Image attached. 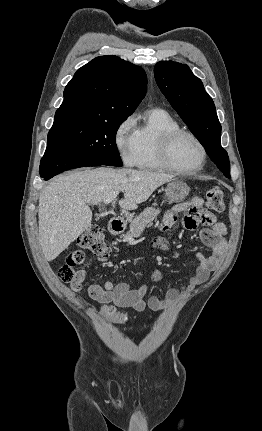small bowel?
<instances>
[{"mask_svg":"<svg viewBox=\"0 0 262 431\" xmlns=\"http://www.w3.org/2000/svg\"><path fill=\"white\" fill-rule=\"evenodd\" d=\"M189 208L193 209L194 212L183 219V225L187 229H194L198 225L204 226L205 229L201 231V239L212 249V253L209 256H205L201 252L196 253L198 259L196 272L189 279L188 283L168 291L164 301L160 300L153 293L148 294L147 285L132 289L126 282L114 283L106 281L103 286L90 283L87 286V293L91 299L100 303L103 312L110 314L118 308H133L138 311L149 308L155 311H162L169 305H175L183 301L221 265L227 253V228L212 212L206 209L204 198L199 196L194 197L190 201L166 211L161 220V229L166 231L172 228L178 214ZM158 246L164 250L168 248L165 241H160ZM160 278L161 273L156 271L152 275L151 281H157ZM71 289L79 293L82 287L81 284L77 283L72 284ZM147 294L148 297L145 299Z\"/></svg>","mask_w":262,"mask_h":431,"instance_id":"small-bowel-1","label":"small bowel"}]
</instances>
